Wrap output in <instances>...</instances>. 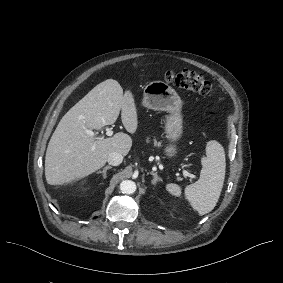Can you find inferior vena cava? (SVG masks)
Returning <instances> with one entry per match:
<instances>
[{
  "instance_id": "602c4592",
  "label": "inferior vena cava",
  "mask_w": 283,
  "mask_h": 283,
  "mask_svg": "<svg viewBox=\"0 0 283 283\" xmlns=\"http://www.w3.org/2000/svg\"><path fill=\"white\" fill-rule=\"evenodd\" d=\"M122 161H123V156L120 153L113 152V153H110L107 157V162L113 166L120 165Z\"/></svg>"
}]
</instances>
